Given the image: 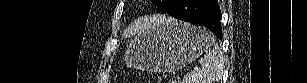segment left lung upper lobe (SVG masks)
<instances>
[{
  "instance_id": "5c2ea615",
  "label": "left lung upper lobe",
  "mask_w": 307,
  "mask_h": 83,
  "mask_svg": "<svg viewBox=\"0 0 307 83\" xmlns=\"http://www.w3.org/2000/svg\"><path fill=\"white\" fill-rule=\"evenodd\" d=\"M151 2L156 5L162 12H166L172 5L174 0H151Z\"/></svg>"
}]
</instances>
